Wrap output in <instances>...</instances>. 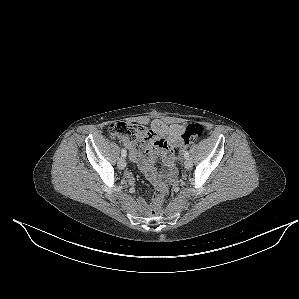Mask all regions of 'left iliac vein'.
Wrapping results in <instances>:
<instances>
[{
  "instance_id": "1",
  "label": "left iliac vein",
  "mask_w": 299,
  "mask_h": 299,
  "mask_svg": "<svg viewBox=\"0 0 299 299\" xmlns=\"http://www.w3.org/2000/svg\"><path fill=\"white\" fill-rule=\"evenodd\" d=\"M185 168L190 169L192 167V161L188 158L184 162Z\"/></svg>"
}]
</instances>
